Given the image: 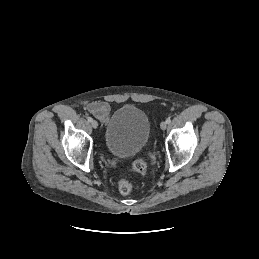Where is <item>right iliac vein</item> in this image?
<instances>
[{"instance_id":"63e3f726","label":"right iliac vein","mask_w":259,"mask_h":259,"mask_svg":"<svg viewBox=\"0 0 259 259\" xmlns=\"http://www.w3.org/2000/svg\"><path fill=\"white\" fill-rule=\"evenodd\" d=\"M91 125H92V127L95 128V129L98 127V123H97V121H95V120H92Z\"/></svg>"}]
</instances>
